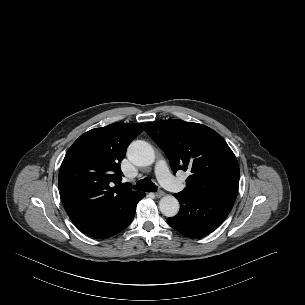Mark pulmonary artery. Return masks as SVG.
<instances>
[{
  "label": "pulmonary artery",
  "instance_id": "pulmonary-artery-1",
  "mask_svg": "<svg viewBox=\"0 0 305 305\" xmlns=\"http://www.w3.org/2000/svg\"><path fill=\"white\" fill-rule=\"evenodd\" d=\"M155 174L160 183L169 189H178L181 184L171 175L165 160H159L155 165Z\"/></svg>",
  "mask_w": 305,
  "mask_h": 305
}]
</instances>
